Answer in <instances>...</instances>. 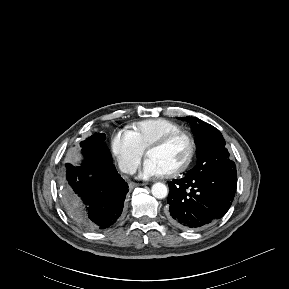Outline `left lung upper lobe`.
<instances>
[{
  "mask_svg": "<svg viewBox=\"0 0 289 289\" xmlns=\"http://www.w3.org/2000/svg\"><path fill=\"white\" fill-rule=\"evenodd\" d=\"M181 119L193 124L192 130L197 144L198 162L187 173L200 174L224 169L236 176L235 163L229 159V153L221 132L214 126L195 117H182Z\"/></svg>",
  "mask_w": 289,
  "mask_h": 289,
  "instance_id": "5c2ea615",
  "label": "left lung upper lobe"
}]
</instances>
